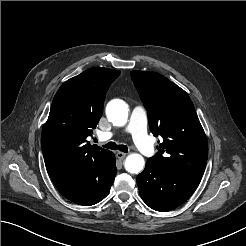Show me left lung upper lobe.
Wrapping results in <instances>:
<instances>
[{
	"mask_svg": "<svg viewBox=\"0 0 246 246\" xmlns=\"http://www.w3.org/2000/svg\"><path fill=\"white\" fill-rule=\"evenodd\" d=\"M131 77L148 112L151 132L163 138L147 163L203 175L208 144L188 94L156 72L132 71Z\"/></svg>",
	"mask_w": 246,
	"mask_h": 246,
	"instance_id": "5c2ea615",
	"label": "left lung upper lobe"
}]
</instances>
